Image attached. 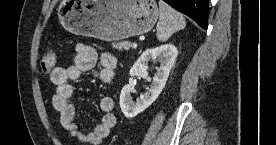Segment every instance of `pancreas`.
I'll return each instance as SVG.
<instances>
[{"label":"pancreas","instance_id":"pancreas-1","mask_svg":"<svg viewBox=\"0 0 276 145\" xmlns=\"http://www.w3.org/2000/svg\"><path fill=\"white\" fill-rule=\"evenodd\" d=\"M114 48L118 49L119 51L129 50L130 43L128 41L115 43Z\"/></svg>","mask_w":276,"mask_h":145}]
</instances>
